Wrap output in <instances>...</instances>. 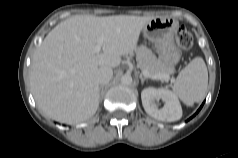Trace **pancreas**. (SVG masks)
I'll use <instances>...</instances> for the list:
<instances>
[{
  "label": "pancreas",
  "mask_w": 238,
  "mask_h": 158,
  "mask_svg": "<svg viewBox=\"0 0 238 158\" xmlns=\"http://www.w3.org/2000/svg\"><path fill=\"white\" fill-rule=\"evenodd\" d=\"M135 53L138 66L142 70H147L150 74H170V68L157 59L146 46L136 48Z\"/></svg>",
  "instance_id": "1"
}]
</instances>
